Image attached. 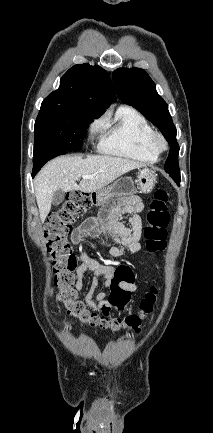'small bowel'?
I'll use <instances>...</instances> for the list:
<instances>
[{"instance_id":"1","label":"small bowel","mask_w":213,"mask_h":433,"mask_svg":"<svg viewBox=\"0 0 213 433\" xmlns=\"http://www.w3.org/2000/svg\"><path fill=\"white\" fill-rule=\"evenodd\" d=\"M143 203L138 196H131L116 200L113 205L97 218H88L71 233V241L77 247L75 255L79 265L74 268L75 289L80 291L84 287V276L91 273L89 290L85 296L86 304L101 313L110 314L113 305L107 299L105 291L97 292L100 282L111 289L114 279L115 267L106 260L104 262L91 256L85 244L89 239H103L113 241L117 245L108 246L106 252L111 258H119L129 253H137L141 250L142 221L140 213L143 211ZM127 216V222L122 217ZM130 292L139 289L133 282L128 286ZM97 292V293H96ZM50 296L53 288H49Z\"/></svg>"}]
</instances>
